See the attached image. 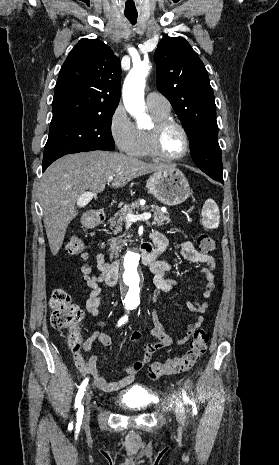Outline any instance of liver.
<instances>
[{
    "label": "liver",
    "mask_w": 279,
    "mask_h": 465,
    "mask_svg": "<svg viewBox=\"0 0 279 465\" xmlns=\"http://www.w3.org/2000/svg\"><path fill=\"white\" fill-rule=\"evenodd\" d=\"M167 167L108 151L70 154L53 162L43 173L39 188V202L52 254L59 252L67 227L78 214L76 203L79 205L82 194L88 190L103 192L109 176L114 177L111 187L119 188L134 178Z\"/></svg>",
    "instance_id": "6515ba94"
}]
</instances>
